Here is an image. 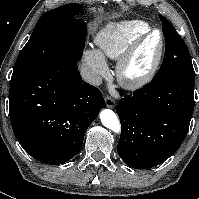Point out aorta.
Returning a JSON list of instances; mask_svg holds the SVG:
<instances>
[{
    "label": "aorta",
    "mask_w": 199,
    "mask_h": 199,
    "mask_svg": "<svg viewBox=\"0 0 199 199\" xmlns=\"http://www.w3.org/2000/svg\"><path fill=\"white\" fill-rule=\"evenodd\" d=\"M100 119H101V122L102 124L116 132V133H120V122L118 120V117L116 116V114L110 110V109H104L100 112Z\"/></svg>",
    "instance_id": "obj_1"
}]
</instances>
